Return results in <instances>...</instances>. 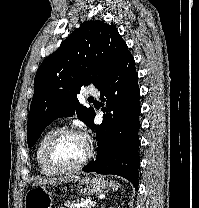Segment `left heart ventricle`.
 <instances>
[{"label": "left heart ventricle", "instance_id": "b2bd125f", "mask_svg": "<svg viewBox=\"0 0 199 208\" xmlns=\"http://www.w3.org/2000/svg\"><path fill=\"white\" fill-rule=\"evenodd\" d=\"M87 148L79 135L64 136L55 146L54 158L62 166H73L86 155Z\"/></svg>", "mask_w": 199, "mask_h": 208}]
</instances>
